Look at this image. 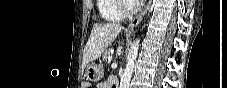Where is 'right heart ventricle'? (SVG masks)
<instances>
[{"label": "right heart ventricle", "instance_id": "obj_1", "mask_svg": "<svg viewBox=\"0 0 227 88\" xmlns=\"http://www.w3.org/2000/svg\"><path fill=\"white\" fill-rule=\"evenodd\" d=\"M97 7L102 19L111 22H119L123 19L122 14L118 10L120 0H96Z\"/></svg>", "mask_w": 227, "mask_h": 88}]
</instances>
